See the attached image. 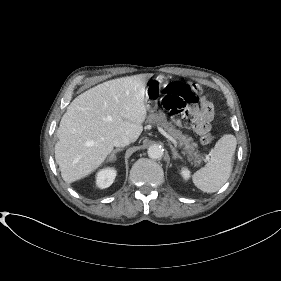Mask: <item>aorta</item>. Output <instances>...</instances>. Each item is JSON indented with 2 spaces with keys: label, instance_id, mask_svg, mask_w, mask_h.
<instances>
[{
  "label": "aorta",
  "instance_id": "762f6f07",
  "mask_svg": "<svg viewBox=\"0 0 281 281\" xmlns=\"http://www.w3.org/2000/svg\"><path fill=\"white\" fill-rule=\"evenodd\" d=\"M148 156L152 159H160L163 156V149L159 145H152L148 148Z\"/></svg>",
  "mask_w": 281,
  "mask_h": 281
}]
</instances>
